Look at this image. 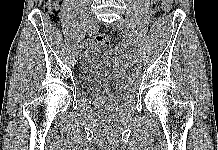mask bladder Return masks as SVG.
Segmentation results:
<instances>
[{
	"label": "bladder",
	"instance_id": "bladder-1",
	"mask_svg": "<svg viewBox=\"0 0 218 150\" xmlns=\"http://www.w3.org/2000/svg\"><path fill=\"white\" fill-rule=\"evenodd\" d=\"M119 75L120 69L110 51L94 48L81 65L79 80L83 89L93 92L107 89Z\"/></svg>",
	"mask_w": 218,
	"mask_h": 150
}]
</instances>
